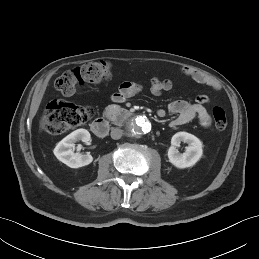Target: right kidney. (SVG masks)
I'll return each mask as SVG.
<instances>
[{
	"instance_id": "1",
	"label": "right kidney",
	"mask_w": 259,
	"mask_h": 259,
	"mask_svg": "<svg viewBox=\"0 0 259 259\" xmlns=\"http://www.w3.org/2000/svg\"><path fill=\"white\" fill-rule=\"evenodd\" d=\"M90 133L86 129H77L62 139L54 149L57 159L71 168L89 165L93 161L90 154H78L72 150L77 141L88 142Z\"/></svg>"
}]
</instances>
